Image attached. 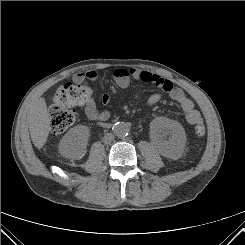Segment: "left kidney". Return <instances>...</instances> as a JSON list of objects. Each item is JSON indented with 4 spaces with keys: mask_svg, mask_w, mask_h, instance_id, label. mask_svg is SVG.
<instances>
[{
    "mask_svg": "<svg viewBox=\"0 0 245 245\" xmlns=\"http://www.w3.org/2000/svg\"><path fill=\"white\" fill-rule=\"evenodd\" d=\"M160 152L167 157H178L185 145L186 134L182 125L174 120L158 118L151 123Z\"/></svg>",
    "mask_w": 245,
    "mask_h": 245,
    "instance_id": "5707ae66",
    "label": "left kidney"
}]
</instances>
